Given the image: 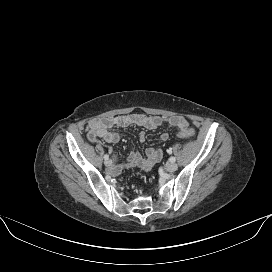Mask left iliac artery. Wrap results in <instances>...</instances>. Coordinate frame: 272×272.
Masks as SVG:
<instances>
[{"instance_id":"left-iliac-artery-1","label":"left iliac artery","mask_w":272,"mask_h":272,"mask_svg":"<svg viewBox=\"0 0 272 272\" xmlns=\"http://www.w3.org/2000/svg\"><path fill=\"white\" fill-rule=\"evenodd\" d=\"M167 152H168L169 154H171V153H172V149H171V148L167 149ZM169 161H170V162H175L176 159H175V157H170V158H169Z\"/></svg>"}]
</instances>
